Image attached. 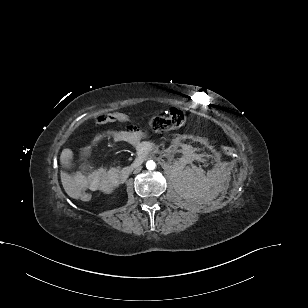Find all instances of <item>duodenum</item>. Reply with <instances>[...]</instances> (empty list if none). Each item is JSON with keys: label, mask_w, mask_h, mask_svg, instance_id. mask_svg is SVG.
<instances>
[{"label": "duodenum", "mask_w": 308, "mask_h": 308, "mask_svg": "<svg viewBox=\"0 0 308 308\" xmlns=\"http://www.w3.org/2000/svg\"><path fill=\"white\" fill-rule=\"evenodd\" d=\"M152 149L153 146L149 142L139 145L137 148L138 156L132 164L123 168V170L118 175V181L124 182L134 169L139 168L143 164L148 153L152 151Z\"/></svg>", "instance_id": "1"}]
</instances>
